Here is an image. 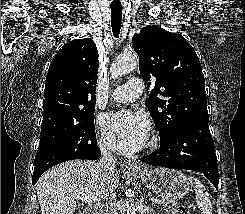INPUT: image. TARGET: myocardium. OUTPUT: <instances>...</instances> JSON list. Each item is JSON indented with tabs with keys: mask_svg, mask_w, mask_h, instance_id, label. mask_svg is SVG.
I'll use <instances>...</instances> for the list:
<instances>
[{
	"mask_svg": "<svg viewBox=\"0 0 245 214\" xmlns=\"http://www.w3.org/2000/svg\"><path fill=\"white\" fill-rule=\"evenodd\" d=\"M158 144V141L156 138H152L149 142H148V145H147V148L149 149H153L157 146Z\"/></svg>",
	"mask_w": 245,
	"mask_h": 214,
	"instance_id": "1",
	"label": "myocardium"
}]
</instances>
